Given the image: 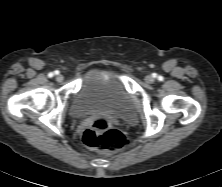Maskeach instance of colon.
I'll return each instance as SVG.
<instances>
[{
  "label": "colon",
  "mask_w": 222,
  "mask_h": 187,
  "mask_svg": "<svg viewBox=\"0 0 222 187\" xmlns=\"http://www.w3.org/2000/svg\"><path fill=\"white\" fill-rule=\"evenodd\" d=\"M83 143L101 152L120 150L126 146L125 135L106 118H98L83 132Z\"/></svg>",
  "instance_id": "5ec220e1"
}]
</instances>
